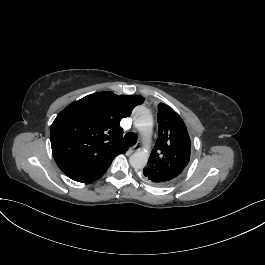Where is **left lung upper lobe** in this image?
Here are the masks:
<instances>
[{
    "label": "left lung upper lobe",
    "instance_id": "1",
    "mask_svg": "<svg viewBox=\"0 0 265 265\" xmlns=\"http://www.w3.org/2000/svg\"><path fill=\"white\" fill-rule=\"evenodd\" d=\"M157 121L158 139L143 177L151 184L165 186L174 182L189 163L191 141L184 121L168 105H158Z\"/></svg>",
    "mask_w": 265,
    "mask_h": 265
}]
</instances>
